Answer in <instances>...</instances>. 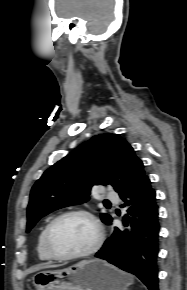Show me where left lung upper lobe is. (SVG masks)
<instances>
[{
	"label": "left lung upper lobe",
	"instance_id": "1",
	"mask_svg": "<svg viewBox=\"0 0 187 290\" xmlns=\"http://www.w3.org/2000/svg\"><path fill=\"white\" fill-rule=\"evenodd\" d=\"M143 175V163L125 139L111 133L94 136L51 166L34 184L26 231L54 210L88 201L93 185L111 184L121 195ZM101 220L109 224L112 218L101 213Z\"/></svg>",
	"mask_w": 187,
	"mask_h": 290
}]
</instances>
